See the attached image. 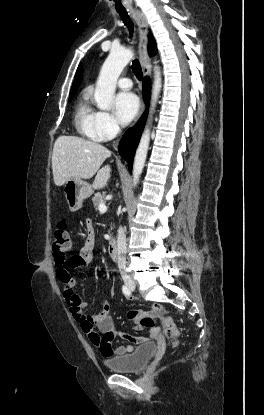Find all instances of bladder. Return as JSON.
Wrapping results in <instances>:
<instances>
[{
  "label": "bladder",
  "instance_id": "obj_1",
  "mask_svg": "<svg viewBox=\"0 0 264 415\" xmlns=\"http://www.w3.org/2000/svg\"><path fill=\"white\" fill-rule=\"evenodd\" d=\"M157 349L156 343L148 342L138 346L130 354L107 359L104 364L112 372L132 373L143 370Z\"/></svg>",
  "mask_w": 264,
  "mask_h": 415
}]
</instances>
